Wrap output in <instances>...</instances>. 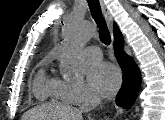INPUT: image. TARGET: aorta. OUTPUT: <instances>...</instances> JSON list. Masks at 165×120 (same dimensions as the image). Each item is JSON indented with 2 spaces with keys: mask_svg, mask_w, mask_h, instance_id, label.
Segmentation results:
<instances>
[{
  "mask_svg": "<svg viewBox=\"0 0 165 120\" xmlns=\"http://www.w3.org/2000/svg\"><path fill=\"white\" fill-rule=\"evenodd\" d=\"M91 37V30L81 19L70 17L64 26L61 68L64 74L76 76L85 68L82 47Z\"/></svg>",
  "mask_w": 165,
  "mask_h": 120,
  "instance_id": "762f6f07",
  "label": "aorta"
}]
</instances>
